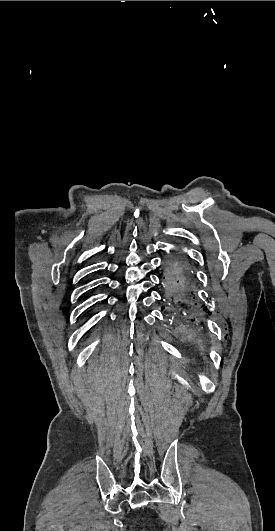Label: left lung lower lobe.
<instances>
[{
	"instance_id": "obj_1",
	"label": "left lung lower lobe",
	"mask_w": 275,
	"mask_h": 531,
	"mask_svg": "<svg viewBox=\"0 0 275 531\" xmlns=\"http://www.w3.org/2000/svg\"><path fill=\"white\" fill-rule=\"evenodd\" d=\"M162 279L166 302L163 308L171 313L194 315L204 307L201 305L194 268L188 255L178 250L164 258Z\"/></svg>"
}]
</instances>
